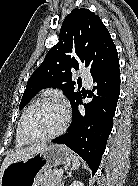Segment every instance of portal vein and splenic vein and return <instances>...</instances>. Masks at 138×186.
Wrapping results in <instances>:
<instances>
[{"instance_id": "obj_1", "label": "portal vein and splenic vein", "mask_w": 138, "mask_h": 186, "mask_svg": "<svg viewBox=\"0 0 138 186\" xmlns=\"http://www.w3.org/2000/svg\"><path fill=\"white\" fill-rule=\"evenodd\" d=\"M64 171L62 169L56 171L55 175L58 177H61L63 175Z\"/></svg>"}]
</instances>
